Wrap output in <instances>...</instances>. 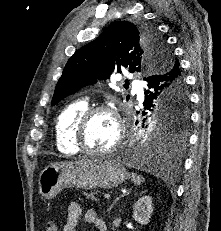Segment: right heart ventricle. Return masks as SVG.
Instances as JSON below:
<instances>
[{"label": "right heart ventricle", "instance_id": "1", "mask_svg": "<svg viewBox=\"0 0 221 231\" xmlns=\"http://www.w3.org/2000/svg\"><path fill=\"white\" fill-rule=\"evenodd\" d=\"M87 107L86 101H74L67 105L58 115L55 123V135L56 145L61 153L73 155L80 151L74 142L75 125Z\"/></svg>", "mask_w": 221, "mask_h": 231}]
</instances>
